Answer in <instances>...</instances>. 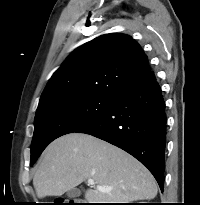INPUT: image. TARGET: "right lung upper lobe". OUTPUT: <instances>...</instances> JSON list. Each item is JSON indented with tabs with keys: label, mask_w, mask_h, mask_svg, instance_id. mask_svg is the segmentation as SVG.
Masks as SVG:
<instances>
[{
	"label": "right lung upper lobe",
	"mask_w": 200,
	"mask_h": 205,
	"mask_svg": "<svg viewBox=\"0 0 200 205\" xmlns=\"http://www.w3.org/2000/svg\"><path fill=\"white\" fill-rule=\"evenodd\" d=\"M151 71L147 56L128 35L105 34L78 47L50 78L37 112L86 95L115 98Z\"/></svg>",
	"instance_id": "cb5924a9"
}]
</instances>
